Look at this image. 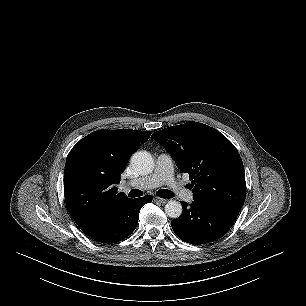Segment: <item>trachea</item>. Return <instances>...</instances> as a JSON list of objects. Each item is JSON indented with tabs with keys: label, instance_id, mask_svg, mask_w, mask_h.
<instances>
[{
	"label": "trachea",
	"instance_id": "trachea-1",
	"mask_svg": "<svg viewBox=\"0 0 306 306\" xmlns=\"http://www.w3.org/2000/svg\"><path fill=\"white\" fill-rule=\"evenodd\" d=\"M143 193L140 190L137 189H133L129 192V197H140L142 196ZM157 195L161 198H172L174 195L171 191L167 190V189H161L157 191Z\"/></svg>",
	"mask_w": 306,
	"mask_h": 306
}]
</instances>
